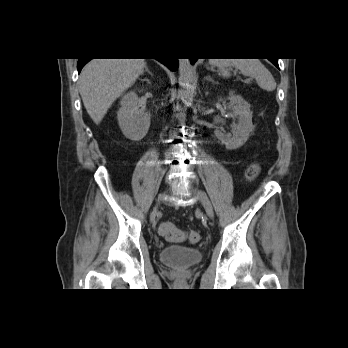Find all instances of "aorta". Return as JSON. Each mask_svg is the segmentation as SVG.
I'll return each mask as SVG.
<instances>
[{
    "instance_id": "obj_1",
    "label": "aorta",
    "mask_w": 348,
    "mask_h": 348,
    "mask_svg": "<svg viewBox=\"0 0 348 348\" xmlns=\"http://www.w3.org/2000/svg\"><path fill=\"white\" fill-rule=\"evenodd\" d=\"M179 70V89L178 98L183 103V107H178L177 117L180 122L185 119V108L188 106L194 96V85H195V74L189 59H179L178 62Z\"/></svg>"
}]
</instances>
